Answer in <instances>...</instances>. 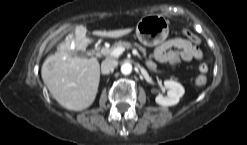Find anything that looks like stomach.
Wrapping results in <instances>:
<instances>
[{"mask_svg": "<svg viewBox=\"0 0 247 145\" xmlns=\"http://www.w3.org/2000/svg\"><path fill=\"white\" fill-rule=\"evenodd\" d=\"M169 34V20L161 15H148L140 19L136 27V36L145 46L163 43Z\"/></svg>", "mask_w": 247, "mask_h": 145, "instance_id": "1", "label": "stomach"}]
</instances>
